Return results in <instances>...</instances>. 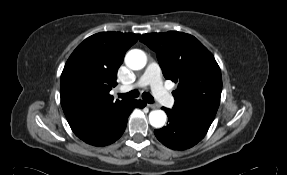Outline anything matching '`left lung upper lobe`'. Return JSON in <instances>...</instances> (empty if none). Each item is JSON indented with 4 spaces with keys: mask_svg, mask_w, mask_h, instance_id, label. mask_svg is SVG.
I'll return each mask as SVG.
<instances>
[{
    "mask_svg": "<svg viewBox=\"0 0 287 175\" xmlns=\"http://www.w3.org/2000/svg\"><path fill=\"white\" fill-rule=\"evenodd\" d=\"M140 41L156 52L166 79L179 82L172 112L206 134L220 104L222 77L210 51L183 32L144 34Z\"/></svg>",
    "mask_w": 287,
    "mask_h": 175,
    "instance_id": "1",
    "label": "left lung upper lobe"
}]
</instances>
